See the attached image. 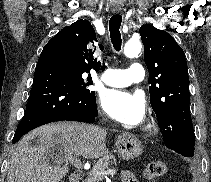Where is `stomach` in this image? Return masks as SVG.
<instances>
[{
  "label": "stomach",
  "instance_id": "0dacf381",
  "mask_svg": "<svg viewBox=\"0 0 211 182\" xmlns=\"http://www.w3.org/2000/svg\"><path fill=\"white\" fill-rule=\"evenodd\" d=\"M118 154L124 160H131L140 155L141 142L133 135L123 134L116 141Z\"/></svg>",
  "mask_w": 211,
  "mask_h": 182
}]
</instances>
